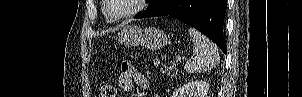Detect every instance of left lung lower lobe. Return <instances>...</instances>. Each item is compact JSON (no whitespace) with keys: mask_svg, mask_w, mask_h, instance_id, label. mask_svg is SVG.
<instances>
[{"mask_svg":"<svg viewBox=\"0 0 302 97\" xmlns=\"http://www.w3.org/2000/svg\"><path fill=\"white\" fill-rule=\"evenodd\" d=\"M227 0H152L135 18L170 16L208 36L226 53L223 22Z\"/></svg>","mask_w":302,"mask_h":97,"instance_id":"0a47b994","label":"left lung lower lobe"}]
</instances>
